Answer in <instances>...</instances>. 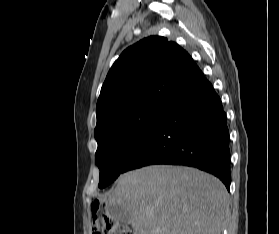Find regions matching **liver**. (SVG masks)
<instances>
[{"label": "liver", "mask_w": 279, "mask_h": 234, "mask_svg": "<svg viewBox=\"0 0 279 234\" xmlns=\"http://www.w3.org/2000/svg\"><path fill=\"white\" fill-rule=\"evenodd\" d=\"M101 200L128 211L133 234H221L229 218L223 183L189 167L155 165L127 172Z\"/></svg>", "instance_id": "6515ba94"}]
</instances>
